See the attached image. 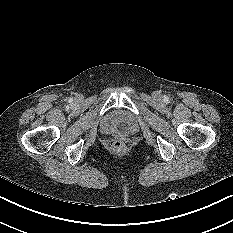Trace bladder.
<instances>
[{
  "label": "bladder",
  "instance_id": "31cf9c89",
  "mask_svg": "<svg viewBox=\"0 0 233 233\" xmlns=\"http://www.w3.org/2000/svg\"><path fill=\"white\" fill-rule=\"evenodd\" d=\"M101 131L105 134L129 136L134 134L138 125L134 117L124 110H113L101 120Z\"/></svg>",
  "mask_w": 233,
  "mask_h": 233
}]
</instances>
